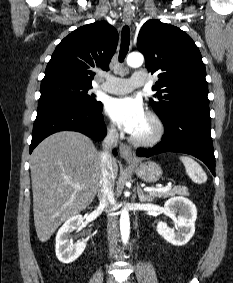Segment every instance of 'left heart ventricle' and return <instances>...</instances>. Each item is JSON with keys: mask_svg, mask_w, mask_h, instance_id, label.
<instances>
[{"mask_svg": "<svg viewBox=\"0 0 233 283\" xmlns=\"http://www.w3.org/2000/svg\"><path fill=\"white\" fill-rule=\"evenodd\" d=\"M153 130L154 126L152 121L147 116H145L144 120L133 135L137 137H147L152 134Z\"/></svg>", "mask_w": 233, "mask_h": 283, "instance_id": "obj_1", "label": "left heart ventricle"}]
</instances>
